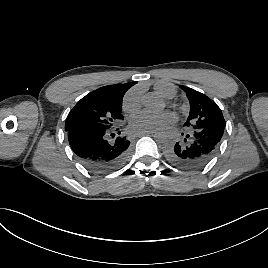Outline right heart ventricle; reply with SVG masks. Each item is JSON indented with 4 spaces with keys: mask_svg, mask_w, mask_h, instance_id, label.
<instances>
[{
    "mask_svg": "<svg viewBox=\"0 0 268 268\" xmlns=\"http://www.w3.org/2000/svg\"><path fill=\"white\" fill-rule=\"evenodd\" d=\"M154 88L155 91L165 99H171L175 95V89L168 83L158 82Z\"/></svg>",
    "mask_w": 268,
    "mask_h": 268,
    "instance_id": "e07e8e85",
    "label": "right heart ventricle"
}]
</instances>
